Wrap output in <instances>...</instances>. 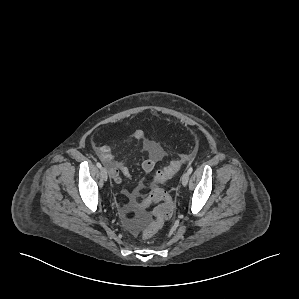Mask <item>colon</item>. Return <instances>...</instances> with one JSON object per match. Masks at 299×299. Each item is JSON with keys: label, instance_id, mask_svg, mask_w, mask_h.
<instances>
[{"label": "colon", "instance_id": "1", "mask_svg": "<svg viewBox=\"0 0 299 299\" xmlns=\"http://www.w3.org/2000/svg\"><path fill=\"white\" fill-rule=\"evenodd\" d=\"M191 158L192 154H182L177 159L171 161L168 166L158 170L150 180V184L153 188L149 195L142 201L136 199L135 203L139 208H146L152 203H159L153 211L155 218L141 232L142 237L149 238L154 235L163 226L164 222L172 216L174 204L171 196L164 189L158 187V185L170 179L185 163L189 162Z\"/></svg>", "mask_w": 299, "mask_h": 299}]
</instances>
